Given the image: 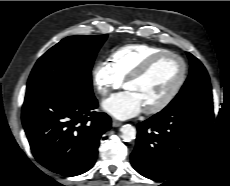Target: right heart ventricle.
Returning <instances> with one entry per match:
<instances>
[{
	"label": "right heart ventricle",
	"instance_id": "1",
	"mask_svg": "<svg viewBox=\"0 0 230 186\" xmlns=\"http://www.w3.org/2000/svg\"><path fill=\"white\" fill-rule=\"evenodd\" d=\"M165 51L167 50L148 44H128L111 53L110 63L120 80L124 81L149 58Z\"/></svg>",
	"mask_w": 230,
	"mask_h": 186
}]
</instances>
